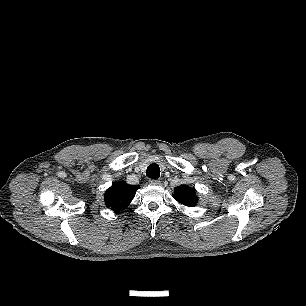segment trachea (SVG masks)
<instances>
[{"label": "trachea", "mask_w": 306, "mask_h": 306, "mask_svg": "<svg viewBox=\"0 0 306 306\" xmlns=\"http://www.w3.org/2000/svg\"><path fill=\"white\" fill-rule=\"evenodd\" d=\"M146 175L151 179H157L160 176V168L157 164H151L146 170Z\"/></svg>", "instance_id": "3493384b"}]
</instances>
